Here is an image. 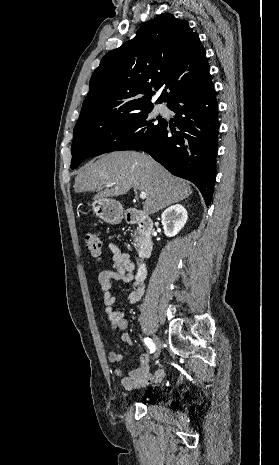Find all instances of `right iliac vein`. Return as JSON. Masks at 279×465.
I'll return each mask as SVG.
<instances>
[{"mask_svg":"<svg viewBox=\"0 0 279 465\" xmlns=\"http://www.w3.org/2000/svg\"><path fill=\"white\" fill-rule=\"evenodd\" d=\"M153 343L155 345V358H157L160 355L162 344L157 336L153 337Z\"/></svg>","mask_w":279,"mask_h":465,"instance_id":"1","label":"right iliac vein"}]
</instances>
